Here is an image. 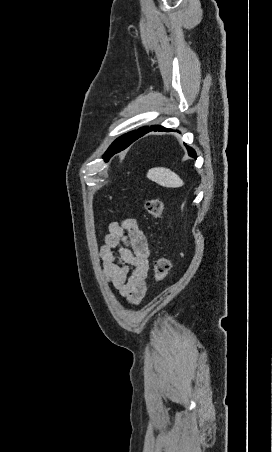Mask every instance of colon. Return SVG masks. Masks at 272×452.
Returning a JSON list of instances; mask_svg holds the SVG:
<instances>
[{
	"mask_svg": "<svg viewBox=\"0 0 272 452\" xmlns=\"http://www.w3.org/2000/svg\"><path fill=\"white\" fill-rule=\"evenodd\" d=\"M145 209L152 219H159L163 214V204L158 198H149L145 201ZM171 263L168 257L160 256L155 261L154 279L157 284L162 283L170 270Z\"/></svg>",
	"mask_w": 272,
	"mask_h": 452,
	"instance_id": "obj_1",
	"label": "colon"
}]
</instances>
